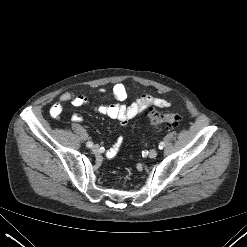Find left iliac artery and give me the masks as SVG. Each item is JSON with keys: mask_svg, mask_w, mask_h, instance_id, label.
Returning a JSON list of instances; mask_svg holds the SVG:
<instances>
[{"mask_svg": "<svg viewBox=\"0 0 247 247\" xmlns=\"http://www.w3.org/2000/svg\"><path fill=\"white\" fill-rule=\"evenodd\" d=\"M158 147H159V149H163L165 147V143L164 142H160Z\"/></svg>", "mask_w": 247, "mask_h": 247, "instance_id": "44dca946", "label": "left iliac artery"}]
</instances>
